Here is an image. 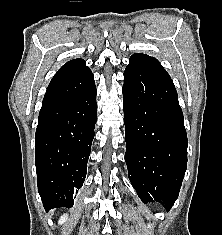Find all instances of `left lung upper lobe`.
Instances as JSON below:
<instances>
[{
	"mask_svg": "<svg viewBox=\"0 0 222 235\" xmlns=\"http://www.w3.org/2000/svg\"><path fill=\"white\" fill-rule=\"evenodd\" d=\"M131 57H139V58L148 59V60H152L154 62L159 63L155 58L150 57V56L145 55V54H133Z\"/></svg>",
	"mask_w": 222,
	"mask_h": 235,
	"instance_id": "1",
	"label": "left lung upper lobe"
}]
</instances>
